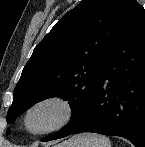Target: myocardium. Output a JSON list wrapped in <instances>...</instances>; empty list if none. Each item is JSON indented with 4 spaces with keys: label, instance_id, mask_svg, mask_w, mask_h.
<instances>
[{
    "label": "myocardium",
    "instance_id": "f54148a6",
    "mask_svg": "<svg viewBox=\"0 0 145 147\" xmlns=\"http://www.w3.org/2000/svg\"><path fill=\"white\" fill-rule=\"evenodd\" d=\"M49 106H55L59 108L61 112L60 118L50 126L33 128L30 123L33 114L38 110ZM74 115V104L68 98L59 94H51L33 101L25 109L22 116V126L23 129L30 135L39 136L50 134L66 127L72 121Z\"/></svg>",
    "mask_w": 145,
    "mask_h": 147
}]
</instances>
